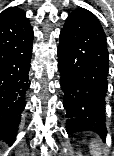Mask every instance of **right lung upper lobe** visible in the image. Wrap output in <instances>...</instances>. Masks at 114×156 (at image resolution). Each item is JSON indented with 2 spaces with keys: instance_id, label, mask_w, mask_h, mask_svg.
Instances as JSON below:
<instances>
[{
  "instance_id": "obj_1",
  "label": "right lung upper lobe",
  "mask_w": 114,
  "mask_h": 156,
  "mask_svg": "<svg viewBox=\"0 0 114 156\" xmlns=\"http://www.w3.org/2000/svg\"><path fill=\"white\" fill-rule=\"evenodd\" d=\"M15 9H17V8H15V7L8 8V9H6L5 11H3V12L1 13V15L5 14V13H7V12L13 11V10H15Z\"/></svg>"
}]
</instances>
